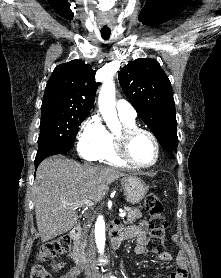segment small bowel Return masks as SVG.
Masks as SVG:
<instances>
[{"label": "small bowel", "instance_id": "small-bowel-1", "mask_svg": "<svg viewBox=\"0 0 221 278\" xmlns=\"http://www.w3.org/2000/svg\"><path fill=\"white\" fill-rule=\"evenodd\" d=\"M127 236L136 241L135 253L138 255H144L147 253L146 248V234H147V222L142 221L136 226H132L126 229ZM158 259L164 263H168L172 260L171 255L163 251L157 255ZM81 272L79 268L73 267L61 278H76ZM164 278H187V265L183 254H178L176 258V270L170 276Z\"/></svg>", "mask_w": 221, "mask_h": 278}]
</instances>
